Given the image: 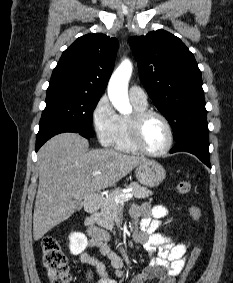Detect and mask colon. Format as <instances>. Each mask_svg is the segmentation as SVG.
<instances>
[{"mask_svg": "<svg viewBox=\"0 0 233 283\" xmlns=\"http://www.w3.org/2000/svg\"><path fill=\"white\" fill-rule=\"evenodd\" d=\"M177 191L181 195L188 194L191 191L190 182L187 180L180 181L177 184ZM189 214L193 220L197 221L201 218V209L198 206H191ZM41 245L43 252L42 262L50 283H70L71 275L69 273L67 257L59 242L51 236H46L42 239ZM201 253L202 245L197 244L189 256L178 283H184L187 273L195 265Z\"/></svg>", "mask_w": 233, "mask_h": 283, "instance_id": "obj_1", "label": "colon"}]
</instances>
